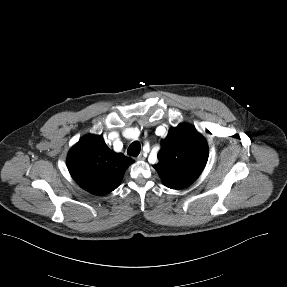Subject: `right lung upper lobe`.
<instances>
[{"label": "right lung upper lobe", "instance_id": "right-lung-upper-lobe-1", "mask_svg": "<svg viewBox=\"0 0 287 287\" xmlns=\"http://www.w3.org/2000/svg\"><path fill=\"white\" fill-rule=\"evenodd\" d=\"M133 160L108 148L101 135H86L67 157L72 178L85 190L104 195L115 190Z\"/></svg>", "mask_w": 287, "mask_h": 287}]
</instances>
